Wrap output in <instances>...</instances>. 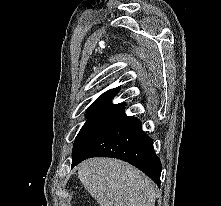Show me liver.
Wrapping results in <instances>:
<instances>
[{
	"instance_id": "obj_1",
	"label": "liver",
	"mask_w": 221,
	"mask_h": 206,
	"mask_svg": "<svg viewBox=\"0 0 221 206\" xmlns=\"http://www.w3.org/2000/svg\"><path fill=\"white\" fill-rule=\"evenodd\" d=\"M80 181L100 206H155V187L137 168L112 158L88 159Z\"/></svg>"
}]
</instances>
